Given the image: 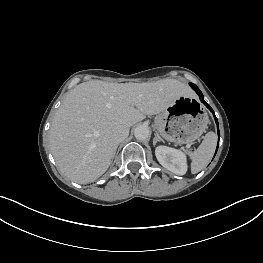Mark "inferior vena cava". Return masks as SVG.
<instances>
[{"label":"inferior vena cava","instance_id":"1","mask_svg":"<svg viewBox=\"0 0 263 263\" xmlns=\"http://www.w3.org/2000/svg\"><path fill=\"white\" fill-rule=\"evenodd\" d=\"M129 135V128L125 126H117L113 129L111 138L112 140L118 144L127 138Z\"/></svg>","mask_w":263,"mask_h":263}]
</instances>
